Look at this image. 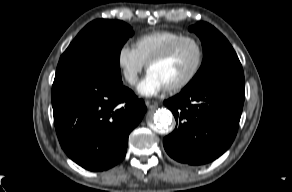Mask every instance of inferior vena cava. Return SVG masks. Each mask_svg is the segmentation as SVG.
<instances>
[{"instance_id": "602c4592", "label": "inferior vena cava", "mask_w": 292, "mask_h": 192, "mask_svg": "<svg viewBox=\"0 0 292 192\" xmlns=\"http://www.w3.org/2000/svg\"><path fill=\"white\" fill-rule=\"evenodd\" d=\"M130 82H131V83H135V79H132Z\"/></svg>"}]
</instances>
